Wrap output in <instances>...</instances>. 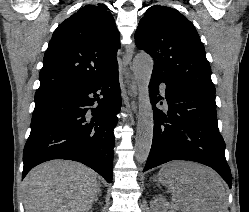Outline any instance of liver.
Returning a JSON list of instances; mask_svg holds the SVG:
<instances>
[{
	"mask_svg": "<svg viewBox=\"0 0 249 212\" xmlns=\"http://www.w3.org/2000/svg\"><path fill=\"white\" fill-rule=\"evenodd\" d=\"M172 194V210L228 212L220 176L195 162H171L158 174ZM99 182L90 168L70 160L40 164L23 182L25 212H90Z\"/></svg>",
	"mask_w": 249,
	"mask_h": 212,
	"instance_id": "6515ba94",
	"label": "liver"
}]
</instances>
